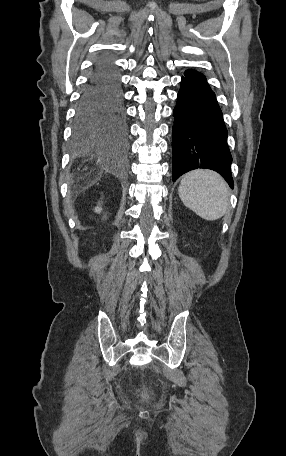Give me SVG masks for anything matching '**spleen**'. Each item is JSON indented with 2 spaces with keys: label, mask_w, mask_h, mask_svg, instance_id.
<instances>
[{
  "label": "spleen",
  "mask_w": 286,
  "mask_h": 456,
  "mask_svg": "<svg viewBox=\"0 0 286 456\" xmlns=\"http://www.w3.org/2000/svg\"><path fill=\"white\" fill-rule=\"evenodd\" d=\"M183 204L202 219L214 221L229 209V188L216 172L198 169L185 174L178 189Z\"/></svg>",
  "instance_id": "3e777b00"
}]
</instances>
